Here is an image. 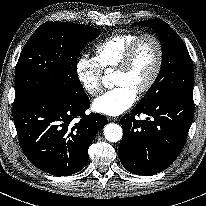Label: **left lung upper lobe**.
<instances>
[{
  "label": "left lung upper lobe",
  "mask_w": 206,
  "mask_h": 206,
  "mask_svg": "<svg viewBox=\"0 0 206 206\" xmlns=\"http://www.w3.org/2000/svg\"><path fill=\"white\" fill-rule=\"evenodd\" d=\"M137 24L154 29L160 38L163 52L160 73L138 105L150 104L174 94L193 93V63L182 39L161 19Z\"/></svg>",
  "instance_id": "5c2ea615"
}]
</instances>
